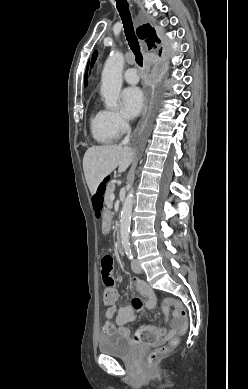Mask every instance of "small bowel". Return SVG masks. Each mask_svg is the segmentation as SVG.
<instances>
[{
	"label": "small bowel",
	"mask_w": 248,
	"mask_h": 389,
	"mask_svg": "<svg viewBox=\"0 0 248 389\" xmlns=\"http://www.w3.org/2000/svg\"><path fill=\"white\" fill-rule=\"evenodd\" d=\"M133 290L136 291V295L140 296L141 293L146 295L149 300L146 303V306L148 308H152L157 301V293L142 279L135 278L133 282ZM112 291L117 295V287L111 286L107 287L104 292ZM137 296H134L132 298V305L129 308H116L115 302L107 304L106 308V322L103 326V335H110L112 333L119 334L121 336H124L126 338H130V331L127 327V325L136 319V312H138L142 306L143 303L141 299ZM163 312L165 317H168V310L167 308L163 307ZM174 327L176 326V323L172 324ZM175 330H172L170 334H173ZM168 336L164 338H158V340H148L149 345L158 344L159 342L165 340ZM133 339L136 342H141V337L139 334H136Z\"/></svg>",
	"instance_id": "c3829d8e"
}]
</instances>
